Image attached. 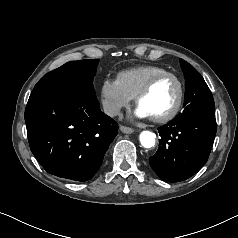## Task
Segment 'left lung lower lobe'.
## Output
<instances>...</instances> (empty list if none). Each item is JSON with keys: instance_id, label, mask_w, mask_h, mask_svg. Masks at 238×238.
I'll return each instance as SVG.
<instances>
[{"instance_id": "obj_1", "label": "left lung lower lobe", "mask_w": 238, "mask_h": 238, "mask_svg": "<svg viewBox=\"0 0 238 238\" xmlns=\"http://www.w3.org/2000/svg\"><path fill=\"white\" fill-rule=\"evenodd\" d=\"M159 148L150 166L164 181L179 182L207 162L216 135L215 113L176 117L158 129Z\"/></svg>"}]
</instances>
